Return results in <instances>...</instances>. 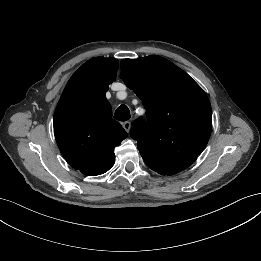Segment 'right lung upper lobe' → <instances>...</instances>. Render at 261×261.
I'll return each instance as SVG.
<instances>
[{"label": "right lung upper lobe", "instance_id": "right-lung-upper-lobe-1", "mask_svg": "<svg viewBox=\"0 0 261 261\" xmlns=\"http://www.w3.org/2000/svg\"><path fill=\"white\" fill-rule=\"evenodd\" d=\"M119 62L92 58L68 81L54 116L56 142L66 161L85 175H100L115 162L114 148L127 137L112 119L105 93L116 78Z\"/></svg>", "mask_w": 261, "mask_h": 261}]
</instances>
